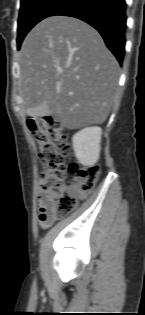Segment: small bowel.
Masks as SVG:
<instances>
[{"label":"small bowel","instance_id":"small-bowel-1","mask_svg":"<svg viewBox=\"0 0 145 315\" xmlns=\"http://www.w3.org/2000/svg\"><path fill=\"white\" fill-rule=\"evenodd\" d=\"M57 196L58 193L55 191H52L50 193L40 192L38 194V220L40 226L43 228L51 226L56 219L55 200Z\"/></svg>","mask_w":145,"mask_h":315}]
</instances>
